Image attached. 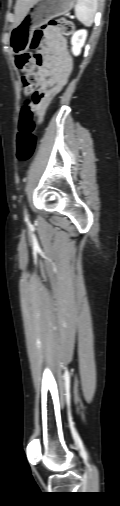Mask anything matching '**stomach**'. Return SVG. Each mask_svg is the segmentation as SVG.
Returning a JSON list of instances; mask_svg holds the SVG:
<instances>
[{"label":"stomach","mask_w":120,"mask_h":506,"mask_svg":"<svg viewBox=\"0 0 120 506\" xmlns=\"http://www.w3.org/2000/svg\"><path fill=\"white\" fill-rule=\"evenodd\" d=\"M76 0H37L24 18L10 32L9 47L14 55H20L29 49L33 30L50 18L65 15Z\"/></svg>","instance_id":"1"}]
</instances>
